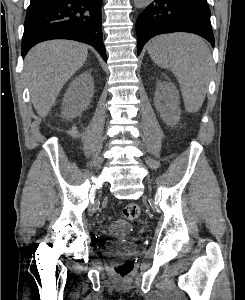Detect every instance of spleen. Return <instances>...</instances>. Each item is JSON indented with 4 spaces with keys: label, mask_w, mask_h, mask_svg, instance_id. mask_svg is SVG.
Segmentation results:
<instances>
[{
    "label": "spleen",
    "mask_w": 245,
    "mask_h": 300,
    "mask_svg": "<svg viewBox=\"0 0 245 300\" xmlns=\"http://www.w3.org/2000/svg\"><path fill=\"white\" fill-rule=\"evenodd\" d=\"M151 59L172 70L178 79L185 108L200 109L206 96L211 71V54L206 43L195 35L174 33L155 37L148 43Z\"/></svg>",
    "instance_id": "obj_1"
}]
</instances>
